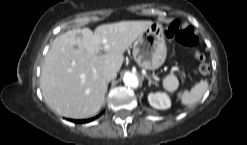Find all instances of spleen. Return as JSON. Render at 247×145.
<instances>
[{
	"label": "spleen",
	"mask_w": 247,
	"mask_h": 145,
	"mask_svg": "<svg viewBox=\"0 0 247 145\" xmlns=\"http://www.w3.org/2000/svg\"><path fill=\"white\" fill-rule=\"evenodd\" d=\"M162 84L164 89L168 92H173L178 88L179 81L176 76L170 74L164 78ZM208 86L209 84L207 80H201L191 89L190 92L184 91L183 93H180L179 96L182 104L189 106L198 102L203 97L204 93L208 89Z\"/></svg>",
	"instance_id": "1"
}]
</instances>
